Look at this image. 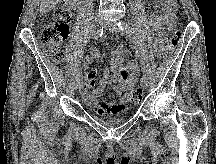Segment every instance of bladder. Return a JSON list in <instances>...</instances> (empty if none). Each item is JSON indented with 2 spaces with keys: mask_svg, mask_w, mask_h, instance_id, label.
I'll list each match as a JSON object with an SVG mask.
<instances>
[{
  "mask_svg": "<svg viewBox=\"0 0 216 164\" xmlns=\"http://www.w3.org/2000/svg\"><path fill=\"white\" fill-rule=\"evenodd\" d=\"M126 120L125 117L113 118V119H98V122L105 126H113L123 123Z\"/></svg>",
  "mask_w": 216,
  "mask_h": 164,
  "instance_id": "bladder-1",
  "label": "bladder"
}]
</instances>
